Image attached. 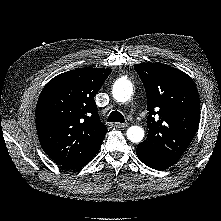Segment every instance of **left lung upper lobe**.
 I'll use <instances>...</instances> for the list:
<instances>
[{
  "mask_svg": "<svg viewBox=\"0 0 221 221\" xmlns=\"http://www.w3.org/2000/svg\"><path fill=\"white\" fill-rule=\"evenodd\" d=\"M147 94L148 136L138 147L176 163L191 143L200 120V99L192 78L164 64L134 65Z\"/></svg>",
  "mask_w": 221,
  "mask_h": 221,
  "instance_id": "5c2ea615",
  "label": "left lung upper lobe"
}]
</instances>
